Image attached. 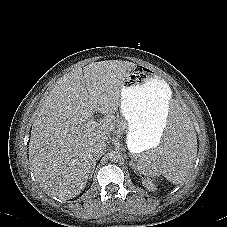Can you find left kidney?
<instances>
[{"instance_id":"obj_1","label":"left kidney","mask_w":227,"mask_h":227,"mask_svg":"<svg viewBox=\"0 0 227 227\" xmlns=\"http://www.w3.org/2000/svg\"><path fill=\"white\" fill-rule=\"evenodd\" d=\"M143 186L146 187L148 190L154 191L156 190V185L153 183V181L149 178L144 179L142 182Z\"/></svg>"}]
</instances>
